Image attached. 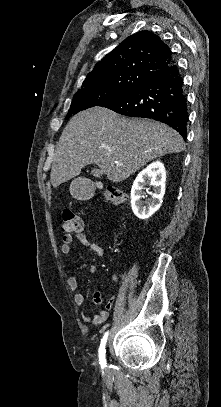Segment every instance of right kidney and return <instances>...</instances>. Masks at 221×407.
Returning a JSON list of instances; mask_svg holds the SVG:
<instances>
[{
  "label": "right kidney",
  "instance_id": "right-kidney-1",
  "mask_svg": "<svg viewBox=\"0 0 221 407\" xmlns=\"http://www.w3.org/2000/svg\"><path fill=\"white\" fill-rule=\"evenodd\" d=\"M166 172L163 163L155 161L143 169L136 177L131 189L132 211L139 219H148L161 206L165 194ZM153 186L151 199L145 203L141 201L144 186Z\"/></svg>",
  "mask_w": 221,
  "mask_h": 407
}]
</instances>
